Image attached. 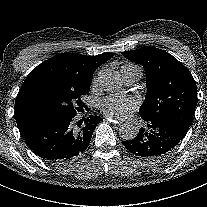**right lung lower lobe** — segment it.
Listing matches in <instances>:
<instances>
[{
    "label": "right lung lower lobe",
    "instance_id": "obj_1",
    "mask_svg": "<svg viewBox=\"0 0 207 207\" xmlns=\"http://www.w3.org/2000/svg\"><path fill=\"white\" fill-rule=\"evenodd\" d=\"M84 121L76 118L52 119L35 122L19 130L29 148L50 163H65L76 159L88 147L101 117L89 116Z\"/></svg>",
    "mask_w": 207,
    "mask_h": 207
}]
</instances>
